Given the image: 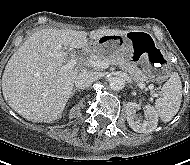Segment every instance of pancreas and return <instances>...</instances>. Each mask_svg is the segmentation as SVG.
<instances>
[{
	"label": "pancreas",
	"mask_w": 190,
	"mask_h": 165,
	"mask_svg": "<svg viewBox=\"0 0 190 165\" xmlns=\"http://www.w3.org/2000/svg\"><path fill=\"white\" fill-rule=\"evenodd\" d=\"M91 59L100 63L102 61L109 62L113 65H118L123 71L128 72L133 80L140 86L148 81L147 76L140 70L137 66L126 62L123 58L120 57H107L98 52H91ZM95 70L100 69L99 66H92Z\"/></svg>",
	"instance_id": "cf45deb5"
}]
</instances>
